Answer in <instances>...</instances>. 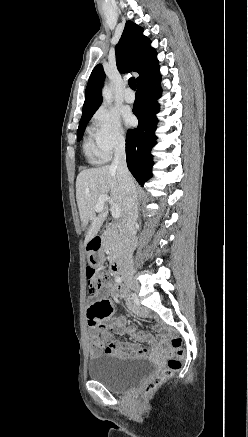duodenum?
<instances>
[{
  "mask_svg": "<svg viewBox=\"0 0 248 437\" xmlns=\"http://www.w3.org/2000/svg\"><path fill=\"white\" fill-rule=\"evenodd\" d=\"M103 244V238L101 236H95L92 238L88 245L86 246L87 254L90 257H93L97 251H99L102 248ZM123 261L122 259L118 258L115 259L112 263L111 269L114 274H119L122 270Z\"/></svg>",
  "mask_w": 248,
  "mask_h": 437,
  "instance_id": "1",
  "label": "duodenum"
}]
</instances>
